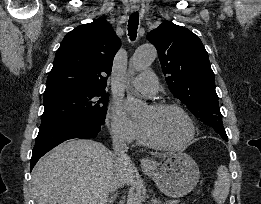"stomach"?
Instances as JSON below:
<instances>
[{
  "mask_svg": "<svg viewBox=\"0 0 261 204\" xmlns=\"http://www.w3.org/2000/svg\"><path fill=\"white\" fill-rule=\"evenodd\" d=\"M161 192L170 197H182L191 192L199 181V168L186 153L178 152L166 158L163 164L143 166Z\"/></svg>",
  "mask_w": 261,
  "mask_h": 204,
  "instance_id": "0dacf381",
  "label": "stomach"
}]
</instances>
